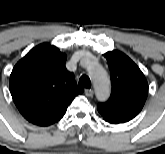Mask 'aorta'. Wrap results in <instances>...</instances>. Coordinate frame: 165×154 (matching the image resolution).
<instances>
[{"label":"aorta","instance_id":"obj_1","mask_svg":"<svg viewBox=\"0 0 165 154\" xmlns=\"http://www.w3.org/2000/svg\"><path fill=\"white\" fill-rule=\"evenodd\" d=\"M88 72L93 80L97 99L106 100L110 94V80L107 72L96 63L89 64Z\"/></svg>","mask_w":165,"mask_h":154}]
</instances>
